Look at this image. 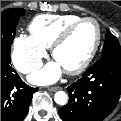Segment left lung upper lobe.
I'll list each match as a JSON object with an SVG mask.
<instances>
[{
  "instance_id": "left-lung-upper-lobe-1",
  "label": "left lung upper lobe",
  "mask_w": 121,
  "mask_h": 121,
  "mask_svg": "<svg viewBox=\"0 0 121 121\" xmlns=\"http://www.w3.org/2000/svg\"><path fill=\"white\" fill-rule=\"evenodd\" d=\"M109 56H121V47L117 38L109 30H107L102 58Z\"/></svg>"
}]
</instances>
